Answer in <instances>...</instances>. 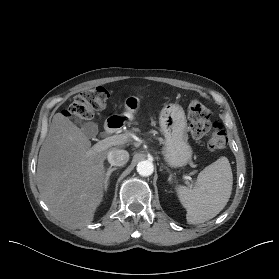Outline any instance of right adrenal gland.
Listing matches in <instances>:
<instances>
[{"instance_id":"2a0ac1e0","label":"right adrenal gland","mask_w":279,"mask_h":279,"mask_svg":"<svg viewBox=\"0 0 279 279\" xmlns=\"http://www.w3.org/2000/svg\"><path fill=\"white\" fill-rule=\"evenodd\" d=\"M115 170H117V167H113L110 166L108 169H107V172H106V177H105V191L107 190V187H108V184H109V178L112 174V172H114Z\"/></svg>"}]
</instances>
